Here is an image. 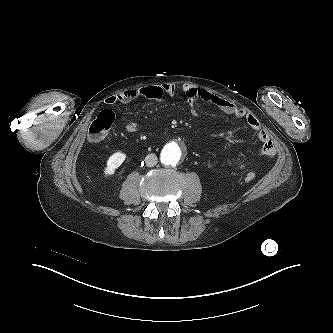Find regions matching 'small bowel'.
<instances>
[{
    "mask_svg": "<svg viewBox=\"0 0 333 333\" xmlns=\"http://www.w3.org/2000/svg\"><path fill=\"white\" fill-rule=\"evenodd\" d=\"M176 92L177 87L175 84L164 83L157 86L139 87L122 91L116 95L108 97L106 99V103L108 105H113L115 103H129L135 99L161 101L165 97L174 96ZM182 93L190 104L191 114L195 115L197 113L195 104L202 101L217 107L226 115L232 116L235 119L244 120L251 129L258 133V138L261 142L259 154L266 159H271L275 155V147L269 133L262 128L258 118L254 114L248 113L244 109L237 107L226 99L199 87L187 84L183 85ZM125 128L130 133H136L140 130V126L134 122H128L125 125ZM252 162L253 160L241 161L236 164L233 169H244L252 164ZM208 166H212L210 161H208Z\"/></svg>",
    "mask_w": 333,
    "mask_h": 333,
    "instance_id": "c3829d8e",
    "label": "small bowel"
}]
</instances>
